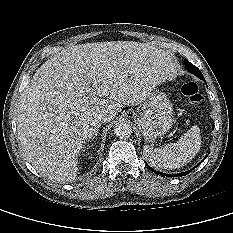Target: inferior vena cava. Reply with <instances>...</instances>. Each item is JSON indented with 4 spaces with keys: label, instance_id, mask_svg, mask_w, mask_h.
<instances>
[{
    "label": "inferior vena cava",
    "instance_id": "inferior-vena-cava-1",
    "mask_svg": "<svg viewBox=\"0 0 233 233\" xmlns=\"http://www.w3.org/2000/svg\"><path fill=\"white\" fill-rule=\"evenodd\" d=\"M103 122H106V119L101 114H95L90 120L91 126H93L95 128L100 127Z\"/></svg>",
    "mask_w": 233,
    "mask_h": 233
}]
</instances>
